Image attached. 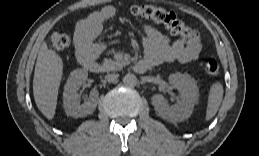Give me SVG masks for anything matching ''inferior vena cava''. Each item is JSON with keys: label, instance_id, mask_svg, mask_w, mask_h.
I'll return each instance as SVG.
<instances>
[{"label": "inferior vena cava", "instance_id": "obj_1", "mask_svg": "<svg viewBox=\"0 0 259 156\" xmlns=\"http://www.w3.org/2000/svg\"><path fill=\"white\" fill-rule=\"evenodd\" d=\"M118 78V74H115V73H112V74H107L105 76V79L108 81V82H115Z\"/></svg>", "mask_w": 259, "mask_h": 156}]
</instances>
